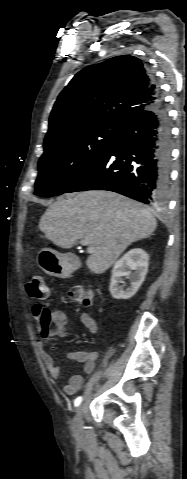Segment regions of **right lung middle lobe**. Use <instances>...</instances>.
<instances>
[{"label": "right lung middle lobe", "instance_id": "1", "mask_svg": "<svg viewBox=\"0 0 187 479\" xmlns=\"http://www.w3.org/2000/svg\"><path fill=\"white\" fill-rule=\"evenodd\" d=\"M120 129L93 127L78 130L44 145L35 183L36 194L64 193L109 148Z\"/></svg>", "mask_w": 187, "mask_h": 479}]
</instances>
